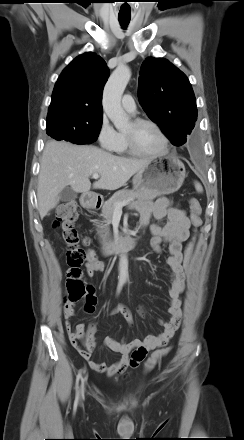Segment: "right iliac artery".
I'll use <instances>...</instances> for the list:
<instances>
[{"mask_svg": "<svg viewBox=\"0 0 244 440\" xmlns=\"http://www.w3.org/2000/svg\"><path fill=\"white\" fill-rule=\"evenodd\" d=\"M123 283H119L118 287H117V293H119L122 289ZM82 378V370L78 373L77 375V379H76V385H75V389H76V397H75V401H74V409L76 410L77 406H78V402H79V381Z\"/></svg>", "mask_w": 244, "mask_h": 440, "instance_id": "obj_1", "label": "right iliac artery"}]
</instances>
